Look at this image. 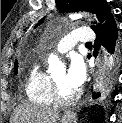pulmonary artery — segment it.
Masks as SVG:
<instances>
[{"mask_svg":"<svg viewBox=\"0 0 122 123\" xmlns=\"http://www.w3.org/2000/svg\"><path fill=\"white\" fill-rule=\"evenodd\" d=\"M94 38L95 35L90 28H77L59 41V43L56 46V51L58 53H65L72 49L77 43L92 42Z\"/></svg>","mask_w":122,"mask_h":123,"instance_id":"e3ab8cb5","label":"pulmonary artery"}]
</instances>
